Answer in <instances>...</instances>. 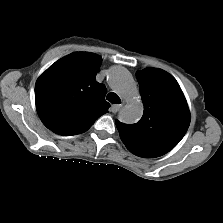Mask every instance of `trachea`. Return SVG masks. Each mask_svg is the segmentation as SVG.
Instances as JSON below:
<instances>
[{
	"label": "trachea",
	"instance_id": "3493384b",
	"mask_svg": "<svg viewBox=\"0 0 223 223\" xmlns=\"http://www.w3.org/2000/svg\"><path fill=\"white\" fill-rule=\"evenodd\" d=\"M106 99L113 104H120L121 100L117 94L111 92L107 95Z\"/></svg>",
	"mask_w": 223,
	"mask_h": 223
}]
</instances>
